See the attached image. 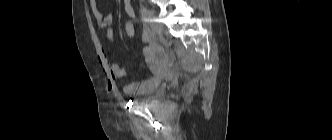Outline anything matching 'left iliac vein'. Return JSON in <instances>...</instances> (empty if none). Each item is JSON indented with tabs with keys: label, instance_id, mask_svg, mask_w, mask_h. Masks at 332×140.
I'll use <instances>...</instances> for the list:
<instances>
[{
	"label": "left iliac vein",
	"instance_id": "4c4485c4",
	"mask_svg": "<svg viewBox=\"0 0 332 140\" xmlns=\"http://www.w3.org/2000/svg\"><path fill=\"white\" fill-rule=\"evenodd\" d=\"M148 17H149V22L150 23V28L152 30V32L154 33H160L161 32V27L160 25L157 23L155 16H154V12L152 10H148Z\"/></svg>",
	"mask_w": 332,
	"mask_h": 140
}]
</instances>
